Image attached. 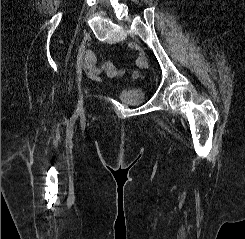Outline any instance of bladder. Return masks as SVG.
<instances>
[{
  "label": "bladder",
  "instance_id": "31cf9c89",
  "mask_svg": "<svg viewBox=\"0 0 245 239\" xmlns=\"http://www.w3.org/2000/svg\"><path fill=\"white\" fill-rule=\"evenodd\" d=\"M146 97L147 94L143 87H126L118 93L119 100L128 105L143 103Z\"/></svg>",
  "mask_w": 245,
  "mask_h": 239
}]
</instances>
